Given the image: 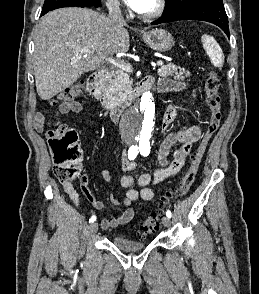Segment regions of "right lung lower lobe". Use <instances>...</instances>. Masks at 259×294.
Listing matches in <instances>:
<instances>
[{
	"label": "right lung lower lobe",
	"instance_id": "98d812e1",
	"mask_svg": "<svg viewBox=\"0 0 259 294\" xmlns=\"http://www.w3.org/2000/svg\"><path fill=\"white\" fill-rule=\"evenodd\" d=\"M100 0L99 1H97L96 3H94L93 5H91V6H87V7H99L100 6ZM61 7H74V6H70V5H62V6H58V7H56L55 9H57V8H61ZM54 10V9H53ZM41 15H44V14H41Z\"/></svg>",
	"mask_w": 259,
	"mask_h": 294
}]
</instances>
